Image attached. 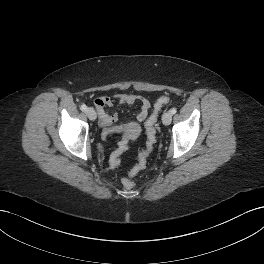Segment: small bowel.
I'll use <instances>...</instances> for the list:
<instances>
[{"label":"small bowel","instance_id":"1","mask_svg":"<svg viewBox=\"0 0 264 264\" xmlns=\"http://www.w3.org/2000/svg\"><path fill=\"white\" fill-rule=\"evenodd\" d=\"M140 103V109L136 113V121L143 122L149 115L151 108V102L142 96L135 94H118L115 97L102 95L96 97L93 101L95 110L98 114L99 124L104 128L103 134L105 136L113 133H123V137L120 140L118 147L112 152L110 156V165L112 168H116L120 162V156L126 151L127 146H124V142H129V128L131 124H116L117 114L109 112L107 109L113 107L115 104L133 105L134 103Z\"/></svg>","mask_w":264,"mask_h":264}]
</instances>
